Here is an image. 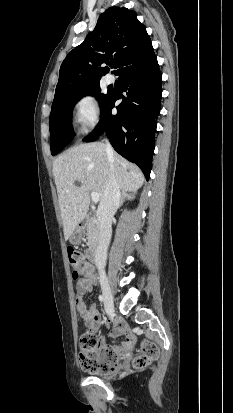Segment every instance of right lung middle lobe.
<instances>
[{"label":"right lung middle lobe","mask_w":233,"mask_h":413,"mask_svg":"<svg viewBox=\"0 0 233 413\" xmlns=\"http://www.w3.org/2000/svg\"><path fill=\"white\" fill-rule=\"evenodd\" d=\"M98 84H95L80 93L63 98L52 104L49 119L51 154L59 153L74 137L71 117L74 105L84 95H96L100 102L101 110L107 103L111 92L101 94Z\"/></svg>","instance_id":"dd1d6c3e"}]
</instances>
